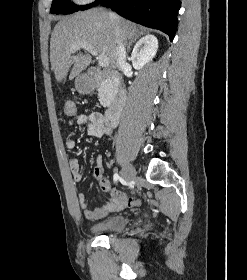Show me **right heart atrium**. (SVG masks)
Instances as JSON below:
<instances>
[{
	"instance_id": "d8ad5b80",
	"label": "right heart atrium",
	"mask_w": 247,
	"mask_h": 280,
	"mask_svg": "<svg viewBox=\"0 0 247 280\" xmlns=\"http://www.w3.org/2000/svg\"><path fill=\"white\" fill-rule=\"evenodd\" d=\"M75 1L79 4H87V3L92 2L93 0H75Z\"/></svg>"
}]
</instances>
